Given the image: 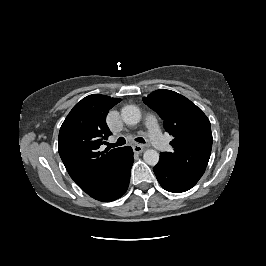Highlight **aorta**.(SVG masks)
<instances>
[{
	"mask_svg": "<svg viewBox=\"0 0 266 266\" xmlns=\"http://www.w3.org/2000/svg\"><path fill=\"white\" fill-rule=\"evenodd\" d=\"M123 121L128 125H135L141 120V112L135 105H127L121 111ZM144 161L155 166L159 161V153L154 149H148L143 154Z\"/></svg>",
	"mask_w": 266,
	"mask_h": 266,
	"instance_id": "1",
	"label": "aorta"
}]
</instances>
